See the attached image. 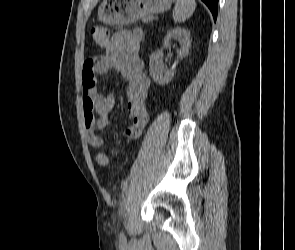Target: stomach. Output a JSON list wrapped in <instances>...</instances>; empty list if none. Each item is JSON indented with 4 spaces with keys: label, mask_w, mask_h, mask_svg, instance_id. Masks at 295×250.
I'll return each mask as SVG.
<instances>
[{
    "label": "stomach",
    "mask_w": 295,
    "mask_h": 250,
    "mask_svg": "<svg viewBox=\"0 0 295 250\" xmlns=\"http://www.w3.org/2000/svg\"><path fill=\"white\" fill-rule=\"evenodd\" d=\"M172 0H104L98 8L99 21L108 25H122L146 15L170 9Z\"/></svg>",
    "instance_id": "1"
}]
</instances>
